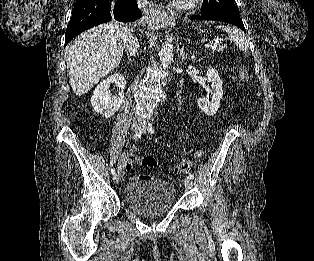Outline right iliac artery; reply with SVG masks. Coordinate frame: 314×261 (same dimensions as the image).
Segmentation results:
<instances>
[{
    "label": "right iliac artery",
    "mask_w": 314,
    "mask_h": 261,
    "mask_svg": "<svg viewBox=\"0 0 314 261\" xmlns=\"http://www.w3.org/2000/svg\"><path fill=\"white\" fill-rule=\"evenodd\" d=\"M140 137H141V133H140V132H139V133L137 132V133L134 134L133 139H134V140H138ZM111 173H112V174H115V169H114V168L111 169Z\"/></svg>",
    "instance_id": "right-iliac-artery-1"
}]
</instances>
